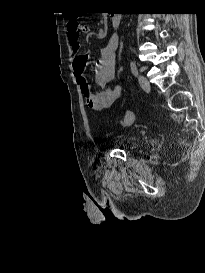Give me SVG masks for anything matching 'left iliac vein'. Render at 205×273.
I'll list each match as a JSON object with an SVG mask.
<instances>
[{
  "instance_id": "obj_1",
  "label": "left iliac vein",
  "mask_w": 205,
  "mask_h": 273,
  "mask_svg": "<svg viewBox=\"0 0 205 273\" xmlns=\"http://www.w3.org/2000/svg\"><path fill=\"white\" fill-rule=\"evenodd\" d=\"M138 81H139L140 87L144 91H149L150 90V84H149L148 80L143 75H139Z\"/></svg>"
}]
</instances>
